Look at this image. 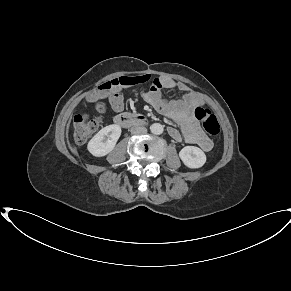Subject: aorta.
I'll return each mask as SVG.
<instances>
[{
  "label": "aorta",
  "instance_id": "1",
  "mask_svg": "<svg viewBox=\"0 0 291 291\" xmlns=\"http://www.w3.org/2000/svg\"><path fill=\"white\" fill-rule=\"evenodd\" d=\"M150 130L155 135H160L163 133L164 127L160 123H154L151 125Z\"/></svg>",
  "mask_w": 291,
  "mask_h": 291
}]
</instances>
